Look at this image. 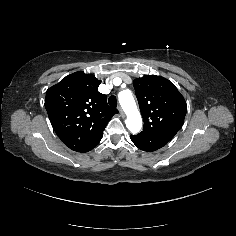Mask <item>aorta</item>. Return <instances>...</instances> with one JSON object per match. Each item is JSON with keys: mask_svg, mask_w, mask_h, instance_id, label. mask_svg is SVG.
Returning a JSON list of instances; mask_svg holds the SVG:
<instances>
[{"mask_svg": "<svg viewBox=\"0 0 236 236\" xmlns=\"http://www.w3.org/2000/svg\"><path fill=\"white\" fill-rule=\"evenodd\" d=\"M118 97L119 103L127 115V128L133 134L138 133L142 128V118L140 112L137 109L132 92L130 90H123L119 93Z\"/></svg>", "mask_w": 236, "mask_h": 236, "instance_id": "762f6f07", "label": "aorta"}]
</instances>
